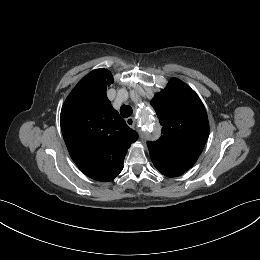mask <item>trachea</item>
Here are the masks:
<instances>
[{
  "label": "trachea",
  "mask_w": 260,
  "mask_h": 260,
  "mask_svg": "<svg viewBox=\"0 0 260 260\" xmlns=\"http://www.w3.org/2000/svg\"><path fill=\"white\" fill-rule=\"evenodd\" d=\"M132 112V108L129 105H122L120 108V114L124 118L131 116Z\"/></svg>",
  "instance_id": "trachea-1"
}]
</instances>
